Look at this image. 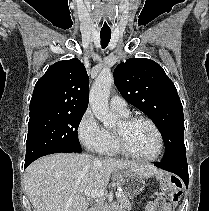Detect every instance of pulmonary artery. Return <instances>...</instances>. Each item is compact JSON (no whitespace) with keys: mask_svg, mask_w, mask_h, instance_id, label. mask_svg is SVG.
I'll return each instance as SVG.
<instances>
[{"mask_svg":"<svg viewBox=\"0 0 209 211\" xmlns=\"http://www.w3.org/2000/svg\"><path fill=\"white\" fill-rule=\"evenodd\" d=\"M110 107L119 114H129L127 102L119 95H115L111 98Z\"/></svg>","mask_w":209,"mask_h":211,"instance_id":"e3ab8cb5","label":"pulmonary artery"}]
</instances>
